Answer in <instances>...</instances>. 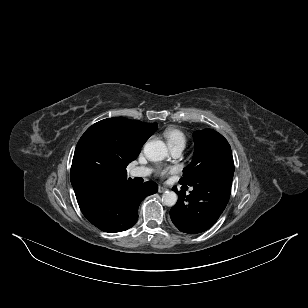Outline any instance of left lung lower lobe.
Wrapping results in <instances>:
<instances>
[{
    "instance_id": "0a47b994",
    "label": "left lung lower lobe",
    "mask_w": 308,
    "mask_h": 308,
    "mask_svg": "<svg viewBox=\"0 0 308 308\" xmlns=\"http://www.w3.org/2000/svg\"><path fill=\"white\" fill-rule=\"evenodd\" d=\"M233 172H219L203 178L191 185L193 190L185 192L173 190L179 198L170 210L174 225L182 232L197 234L212 227L224 211L231 191Z\"/></svg>"
}]
</instances>
